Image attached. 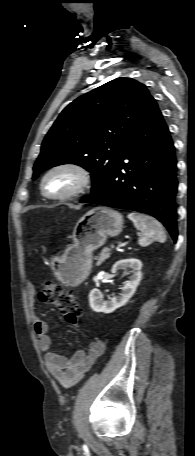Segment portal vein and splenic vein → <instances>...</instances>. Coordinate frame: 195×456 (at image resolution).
Wrapping results in <instances>:
<instances>
[{
	"label": "portal vein and splenic vein",
	"mask_w": 195,
	"mask_h": 456,
	"mask_svg": "<svg viewBox=\"0 0 195 456\" xmlns=\"http://www.w3.org/2000/svg\"><path fill=\"white\" fill-rule=\"evenodd\" d=\"M110 247L111 248H116V247H118V245L117 244H111Z\"/></svg>",
	"instance_id": "portal-vein-and-splenic-vein-1"
}]
</instances>
